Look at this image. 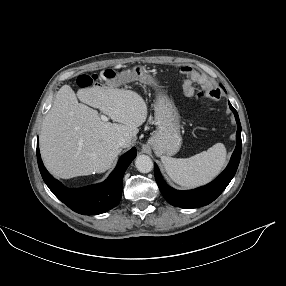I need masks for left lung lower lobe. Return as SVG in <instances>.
<instances>
[{
  "label": "left lung lower lobe",
  "mask_w": 286,
  "mask_h": 286,
  "mask_svg": "<svg viewBox=\"0 0 286 286\" xmlns=\"http://www.w3.org/2000/svg\"><path fill=\"white\" fill-rule=\"evenodd\" d=\"M229 106L230 109L233 111L235 119L237 121V145L228 166L214 181L194 190H175L165 183L157 165L155 164L154 175L156 182L162 195L171 205L182 208H197L207 205L214 201L224 191V189L228 186V184L234 177L241 157V124L239 121L238 113L232 107L230 102Z\"/></svg>",
  "instance_id": "0a47b994"
}]
</instances>
